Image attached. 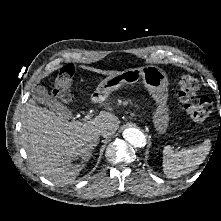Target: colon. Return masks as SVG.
Instances as JSON below:
<instances>
[{
	"instance_id": "obj_1",
	"label": "colon",
	"mask_w": 221,
	"mask_h": 221,
	"mask_svg": "<svg viewBox=\"0 0 221 221\" xmlns=\"http://www.w3.org/2000/svg\"><path fill=\"white\" fill-rule=\"evenodd\" d=\"M75 72L72 64L65 65L54 81L53 96L62 103L72 100L71 85ZM199 82L190 75L183 74L178 79V98L186 114L195 122H204L213 109L212 101L206 97H196Z\"/></svg>"
}]
</instances>
